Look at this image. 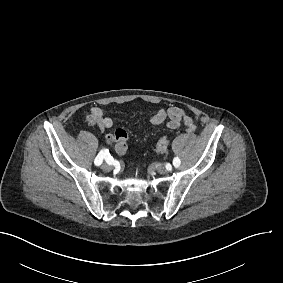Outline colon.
Returning a JSON list of instances; mask_svg holds the SVG:
<instances>
[{"instance_id": "1", "label": "colon", "mask_w": 283, "mask_h": 283, "mask_svg": "<svg viewBox=\"0 0 283 283\" xmlns=\"http://www.w3.org/2000/svg\"><path fill=\"white\" fill-rule=\"evenodd\" d=\"M168 145V138L166 136H161L155 143L154 150L159 153L162 152Z\"/></svg>"}]
</instances>
